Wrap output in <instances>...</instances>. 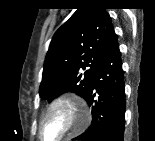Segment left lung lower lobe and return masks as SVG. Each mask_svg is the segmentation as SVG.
<instances>
[{"mask_svg": "<svg viewBox=\"0 0 155 141\" xmlns=\"http://www.w3.org/2000/svg\"><path fill=\"white\" fill-rule=\"evenodd\" d=\"M84 98L92 108V124L74 140L123 141L125 84L116 35L106 47Z\"/></svg>", "mask_w": 155, "mask_h": 141, "instance_id": "obj_1", "label": "left lung lower lobe"}]
</instances>
